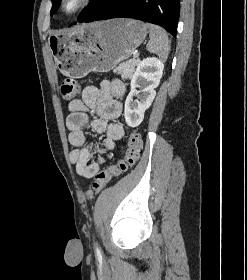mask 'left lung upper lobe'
<instances>
[{"label": "left lung upper lobe", "mask_w": 247, "mask_h": 280, "mask_svg": "<svg viewBox=\"0 0 247 280\" xmlns=\"http://www.w3.org/2000/svg\"><path fill=\"white\" fill-rule=\"evenodd\" d=\"M108 0H93V3L90 6H87L82 14L80 15L79 19L85 18L87 15H89L92 11H94L95 9H97L98 7H100L101 5L105 4ZM60 3V0H52V9L50 14L53 15L56 10L57 7ZM78 19V20H79Z\"/></svg>", "instance_id": "1"}]
</instances>
